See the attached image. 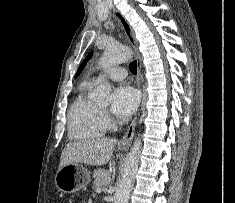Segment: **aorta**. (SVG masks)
I'll list each match as a JSON object with an SVG mask.
<instances>
[{
  "instance_id": "762f6f07",
  "label": "aorta",
  "mask_w": 235,
  "mask_h": 203,
  "mask_svg": "<svg viewBox=\"0 0 235 203\" xmlns=\"http://www.w3.org/2000/svg\"><path fill=\"white\" fill-rule=\"evenodd\" d=\"M132 51L126 46L111 43L109 44L100 60V66L103 69L119 65L131 59ZM93 100L99 104L107 105L110 101V85L103 82L93 94ZM142 143L137 138L126 158L122 178L118 184L117 191L114 196V203H128L135 176L138 170L141 157Z\"/></svg>"
}]
</instances>
